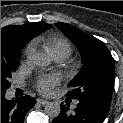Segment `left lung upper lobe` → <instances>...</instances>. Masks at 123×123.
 <instances>
[{
	"instance_id": "obj_1",
	"label": "left lung upper lobe",
	"mask_w": 123,
	"mask_h": 123,
	"mask_svg": "<svg viewBox=\"0 0 123 123\" xmlns=\"http://www.w3.org/2000/svg\"><path fill=\"white\" fill-rule=\"evenodd\" d=\"M79 48L83 56V67L71 81L73 89L67 97L91 101L110 108L114 89V59L99 39L66 24L55 23Z\"/></svg>"
}]
</instances>
